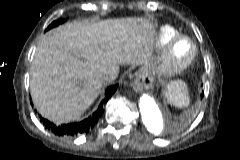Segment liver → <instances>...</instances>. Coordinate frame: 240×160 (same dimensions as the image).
Segmentation results:
<instances>
[{"label": "liver", "instance_id": "obj_1", "mask_svg": "<svg viewBox=\"0 0 240 160\" xmlns=\"http://www.w3.org/2000/svg\"><path fill=\"white\" fill-rule=\"evenodd\" d=\"M153 36L144 18L73 21L48 31L31 65L34 106L55 123L77 120L98 97L104 74L148 63Z\"/></svg>", "mask_w": 240, "mask_h": 160}]
</instances>
